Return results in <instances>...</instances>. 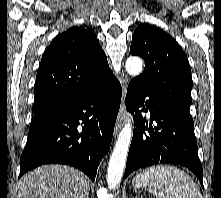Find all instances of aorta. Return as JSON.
I'll return each mask as SVG.
<instances>
[{"label":"aorta","instance_id":"aorta-1","mask_svg":"<svg viewBox=\"0 0 221 198\" xmlns=\"http://www.w3.org/2000/svg\"><path fill=\"white\" fill-rule=\"evenodd\" d=\"M125 68L130 75L138 76L143 69L142 59L136 56L129 57L126 61ZM131 121L132 117L128 115L110 157L107 171V185L109 189H114L120 184L124 172L132 137Z\"/></svg>","mask_w":221,"mask_h":198}]
</instances>
